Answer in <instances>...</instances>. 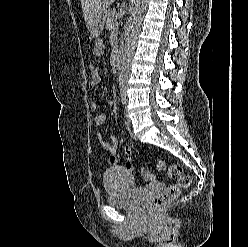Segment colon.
Returning <instances> with one entry per match:
<instances>
[{
    "instance_id": "1",
    "label": "colon",
    "mask_w": 248,
    "mask_h": 247,
    "mask_svg": "<svg viewBox=\"0 0 248 247\" xmlns=\"http://www.w3.org/2000/svg\"><path fill=\"white\" fill-rule=\"evenodd\" d=\"M159 170L163 171L168 178L175 180L177 183L168 186L163 192L155 196L150 203L153 210H161L163 207L175 200L180 192V189L187 188L191 179L189 175L183 172V169L178 164H166L164 161L157 163ZM142 176L145 179H151L153 174L147 169H142Z\"/></svg>"
}]
</instances>
